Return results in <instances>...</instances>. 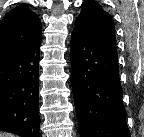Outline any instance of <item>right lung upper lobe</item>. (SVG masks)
I'll use <instances>...</instances> for the list:
<instances>
[{
    "mask_svg": "<svg viewBox=\"0 0 144 137\" xmlns=\"http://www.w3.org/2000/svg\"><path fill=\"white\" fill-rule=\"evenodd\" d=\"M41 31L39 17L27 5L15 7L0 24V58L34 42Z\"/></svg>",
    "mask_w": 144,
    "mask_h": 137,
    "instance_id": "right-lung-upper-lobe-1",
    "label": "right lung upper lobe"
}]
</instances>
